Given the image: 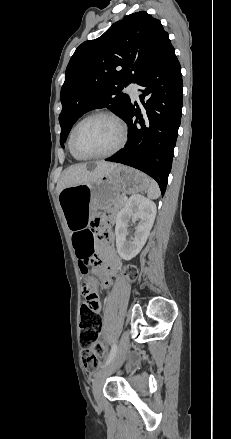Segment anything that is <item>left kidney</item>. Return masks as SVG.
<instances>
[{"label": "left kidney", "mask_w": 231, "mask_h": 439, "mask_svg": "<svg viewBox=\"0 0 231 439\" xmlns=\"http://www.w3.org/2000/svg\"><path fill=\"white\" fill-rule=\"evenodd\" d=\"M156 216V205L142 195H132L116 217V247L119 256L131 260L145 245ZM140 220L135 227L134 237L127 241L130 219Z\"/></svg>", "instance_id": "1"}]
</instances>
